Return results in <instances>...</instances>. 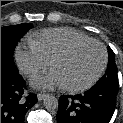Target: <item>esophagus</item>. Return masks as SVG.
Wrapping results in <instances>:
<instances>
[{"label": "esophagus", "mask_w": 123, "mask_h": 123, "mask_svg": "<svg viewBox=\"0 0 123 123\" xmlns=\"http://www.w3.org/2000/svg\"><path fill=\"white\" fill-rule=\"evenodd\" d=\"M46 96H47V94H45V93H38L37 99H38V101H42Z\"/></svg>", "instance_id": "1"}]
</instances>
